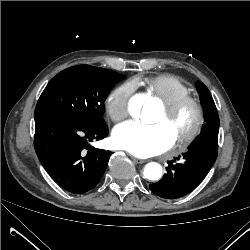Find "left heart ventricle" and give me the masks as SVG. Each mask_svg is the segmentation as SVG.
<instances>
[{
    "instance_id": "obj_1",
    "label": "left heart ventricle",
    "mask_w": 250,
    "mask_h": 250,
    "mask_svg": "<svg viewBox=\"0 0 250 250\" xmlns=\"http://www.w3.org/2000/svg\"><path fill=\"white\" fill-rule=\"evenodd\" d=\"M193 120L194 112L190 108H186L171 120L166 119L164 109H162L154 123L164 125L175 139L178 134L184 133L189 129Z\"/></svg>"
}]
</instances>
